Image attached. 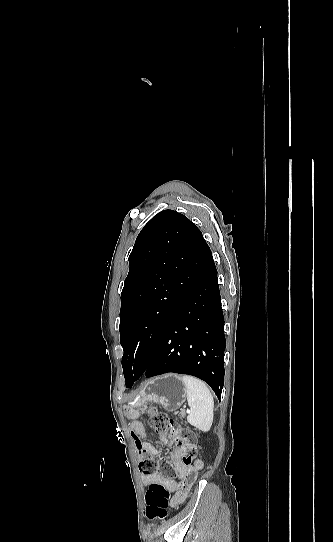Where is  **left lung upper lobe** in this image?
<instances>
[{
  "instance_id": "1",
  "label": "left lung upper lobe",
  "mask_w": 333,
  "mask_h": 542,
  "mask_svg": "<svg viewBox=\"0 0 333 542\" xmlns=\"http://www.w3.org/2000/svg\"><path fill=\"white\" fill-rule=\"evenodd\" d=\"M210 253L196 225L173 210L155 215L139 233L121 293L119 330L126 382L147 368L166 323Z\"/></svg>"
}]
</instances>
